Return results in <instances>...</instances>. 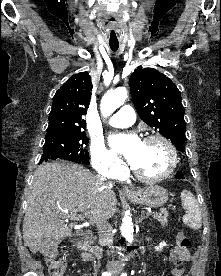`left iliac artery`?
I'll use <instances>...</instances> for the list:
<instances>
[{
    "label": "left iliac artery",
    "instance_id": "left-iliac-artery-1",
    "mask_svg": "<svg viewBox=\"0 0 221 276\" xmlns=\"http://www.w3.org/2000/svg\"><path fill=\"white\" fill-rule=\"evenodd\" d=\"M121 276H127V274H126V273H123Z\"/></svg>",
    "mask_w": 221,
    "mask_h": 276
}]
</instances>
